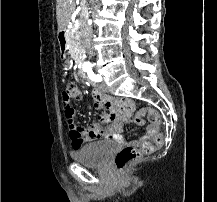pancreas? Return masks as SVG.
<instances>
[{
    "label": "pancreas",
    "mask_w": 217,
    "mask_h": 202,
    "mask_svg": "<svg viewBox=\"0 0 217 202\" xmlns=\"http://www.w3.org/2000/svg\"><path fill=\"white\" fill-rule=\"evenodd\" d=\"M79 40H80L79 34H76V32H71L69 44H71L70 52H72V54H74V58H75V54H77L78 48H80Z\"/></svg>",
    "instance_id": "1"
}]
</instances>
